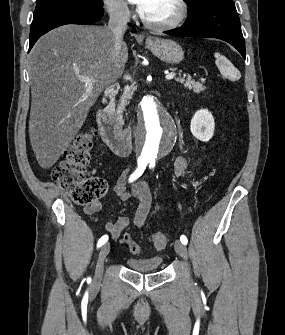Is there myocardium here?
<instances>
[{"label":"myocardium","instance_id":"f54148a6","mask_svg":"<svg viewBox=\"0 0 285 335\" xmlns=\"http://www.w3.org/2000/svg\"><path fill=\"white\" fill-rule=\"evenodd\" d=\"M173 3L178 9V14L173 20L163 23L161 25H153L151 23L146 22L144 19H142L143 25L147 29L154 31V32H164V31H169V30L177 28L187 18L188 5L186 1H173Z\"/></svg>","mask_w":285,"mask_h":335}]
</instances>
